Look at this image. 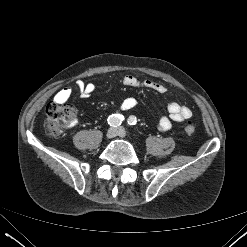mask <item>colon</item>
<instances>
[{
	"label": "colon",
	"instance_id": "5ec220e1",
	"mask_svg": "<svg viewBox=\"0 0 247 247\" xmlns=\"http://www.w3.org/2000/svg\"><path fill=\"white\" fill-rule=\"evenodd\" d=\"M45 131L50 137L59 136L62 131L70 125L75 115V107L70 104L50 102L45 109ZM186 135L190 136L195 132V126L189 122L184 127Z\"/></svg>",
	"mask_w": 247,
	"mask_h": 247
}]
</instances>
